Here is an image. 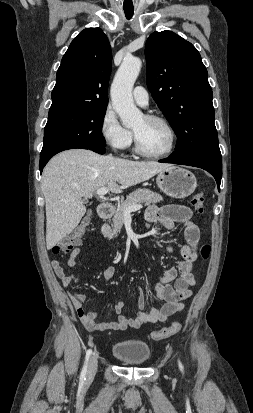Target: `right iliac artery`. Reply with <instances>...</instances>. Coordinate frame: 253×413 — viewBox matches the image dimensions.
I'll return each mask as SVG.
<instances>
[{"mask_svg":"<svg viewBox=\"0 0 253 413\" xmlns=\"http://www.w3.org/2000/svg\"><path fill=\"white\" fill-rule=\"evenodd\" d=\"M91 354H92V350L88 349L87 352H86L84 366L82 368L81 375H80V380L81 381H84L86 379V374H87V369H88Z\"/></svg>","mask_w":253,"mask_h":413,"instance_id":"obj_1","label":"right iliac artery"}]
</instances>
